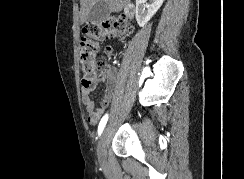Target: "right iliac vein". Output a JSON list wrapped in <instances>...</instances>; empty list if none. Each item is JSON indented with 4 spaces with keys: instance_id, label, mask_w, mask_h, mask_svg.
<instances>
[{
    "instance_id": "63e3f726",
    "label": "right iliac vein",
    "mask_w": 244,
    "mask_h": 179,
    "mask_svg": "<svg viewBox=\"0 0 244 179\" xmlns=\"http://www.w3.org/2000/svg\"><path fill=\"white\" fill-rule=\"evenodd\" d=\"M108 137H109V129L105 128L97 148L98 160L103 164L106 162V146H107Z\"/></svg>"
}]
</instances>
